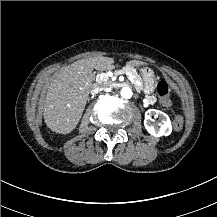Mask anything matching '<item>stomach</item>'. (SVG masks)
<instances>
[{
    "label": "stomach",
    "mask_w": 217,
    "mask_h": 217,
    "mask_svg": "<svg viewBox=\"0 0 217 217\" xmlns=\"http://www.w3.org/2000/svg\"><path fill=\"white\" fill-rule=\"evenodd\" d=\"M140 72L143 80L142 91L144 94L150 95L155 91L157 86L155 74L152 69L146 67L142 68Z\"/></svg>",
    "instance_id": "obj_1"
}]
</instances>
